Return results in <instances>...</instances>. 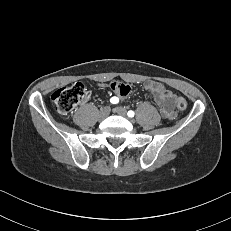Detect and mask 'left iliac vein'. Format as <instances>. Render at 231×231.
<instances>
[{"instance_id":"1","label":"left iliac vein","mask_w":231,"mask_h":231,"mask_svg":"<svg viewBox=\"0 0 231 231\" xmlns=\"http://www.w3.org/2000/svg\"><path fill=\"white\" fill-rule=\"evenodd\" d=\"M115 111H116L117 114H119V115H121V116H123V117H126V116H127V111H126V109L123 108V107H116V108H115Z\"/></svg>"}]
</instances>
